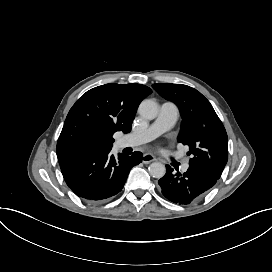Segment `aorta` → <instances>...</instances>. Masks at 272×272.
<instances>
[{
	"label": "aorta",
	"mask_w": 272,
	"mask_h": 272,
	"mask_svg": "<svg viewBox=\"0 0 272 272\" xmlns=\"http://www.w3.org/2000/svg\"><path fill=\"white\" fill-rule=\"evenodd\" d=\"M138 113L146 119H154L158 115V104L152 99H145L138 108ZM149 173L152 177L160 179L166 173L165 165L160 162H153L149 166Z\"/></svg>",
	"instance_id": "762f6f07"
}]
</instances>
